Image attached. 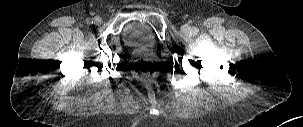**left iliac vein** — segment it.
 Wrapping results in <instances>:
<instances>
[{"mask_svg": "<svg viewBox=\"0 0 303 127\" xmlns=\"http://www.w3.org/2000/svg\"><path fill=\"white\" fill-rule=\"evenodd\" d=\"M181 30L185 34H191L192 33V29L189 25H183Z\"/></svg>", "mask_w": 303, "mask_h": 127, "instance_id": "4c4485c4", "label": "left iliac vein"}]
</instances>
